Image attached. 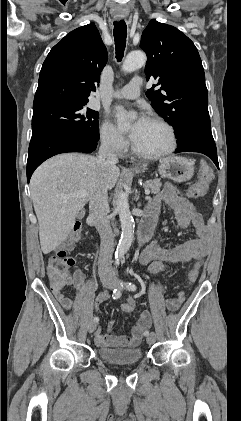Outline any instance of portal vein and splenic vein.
I'll return each instance as SVG.
<instances>
[{"instance_id": "1", "label": "portal vein and splenic vein", "mask_w": 241, "mask_h": 421, "mask_svg": "<svg viewBox=\"0 0 241 421\" xmlns=\"http://www.w3.org/2000/svg\"><path fill=\"white\" fill-rule=\"evenodd\" d=\"M145 193H146V195H149L150 194L149 189H145ZM86 196H87V194L85 192H83V191H77V192H74V193H71V194L64 195L63 198L64 199H69V198H84Z\"/></svg>"}]
</instances>
